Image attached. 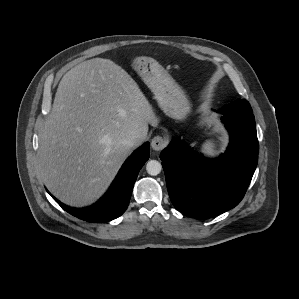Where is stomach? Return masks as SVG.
Masks as SVG:
<instances>
[{"mask_svg":"<svg viewBox=\"0 0 299 299\" xmlns=\"http://www.w3.org/2000/svg\"><path fill=\"white\" fill-rule=\"evenodd\" d=\"M133 66L168 116L178 120L187 116L190 106L184 92L158 62L139 57L134 59Z\"/></svg>","mask_w":299,"mask_h":299,"instance_id":"0dacf381","label":"stomach"}]
</instances>
